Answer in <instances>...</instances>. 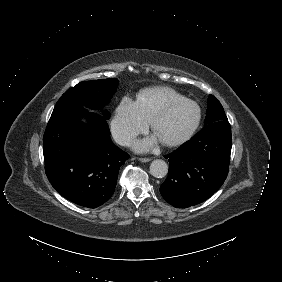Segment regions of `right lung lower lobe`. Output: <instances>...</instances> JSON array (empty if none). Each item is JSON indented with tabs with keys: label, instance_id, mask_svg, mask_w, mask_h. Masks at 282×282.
<instances>
[{
	"label": "right lung lower lobe",
	"instance_id": "1",
	"mask_svg": "<svg viewBox=\"0 0 282 282\" xmlns=\"http://www.w3.org/2000/svg\"><path fill=\"white\" fill-rule=\"evenodd\" d=\"M88 116V125L79 117ZM106 117L68 106L52 113L43 137L46 175L71 202L96 208L113 195L129 155L110 139Z\"/></svg>",
	"mask_w": 282,
	"mask_h": 282
}]
</instances>
